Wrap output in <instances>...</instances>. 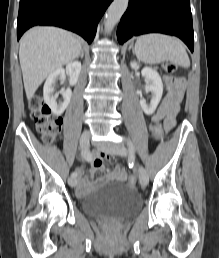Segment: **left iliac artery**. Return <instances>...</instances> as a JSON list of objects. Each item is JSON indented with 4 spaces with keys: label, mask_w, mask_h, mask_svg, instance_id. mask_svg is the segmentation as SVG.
<instances>
[{
    "label": "left iliac artery",
    "mask_w": 219,
    "mask_h": 258,
    "mask_svg": "<svg viewBox=\"0 0 219 258\" xmlns=\"http://www.w3.org/2000/svg\"><path fill=\"white\" fill-rule=\"evenodd\" d=\"M128 148H129V151H130L131 153H134V152H135V148H134V146H133V144H132L131 142H128Z\"/></svg>",
    "instance_id": "1"
}]
</instances>
